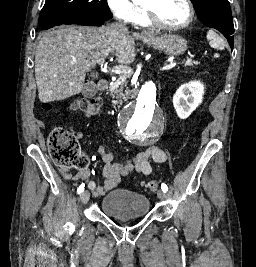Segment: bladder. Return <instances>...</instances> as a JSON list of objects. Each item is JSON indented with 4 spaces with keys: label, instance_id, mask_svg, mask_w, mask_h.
<instances>
[{
    "label": "bladder",
    "instance_id": "1",
    "mask_svg": "<svg viewBox=\"0 0 256 267\" xmlns=\"http://www.w3.org/2000/svg\"><path fill=\"white\" fill-rule=\"evenodd\" d=\"M149 198L137 192L114 189L102 197L101 210L115 218H140L149 213Z\"/></svg>",
    "mask_w": 256,
    "mask_h": 267
}]
</instances>
